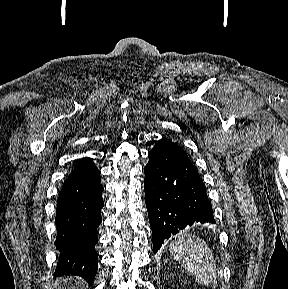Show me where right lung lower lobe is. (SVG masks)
<instances>
[{
	"instance_id": "98d812e1",
	"label": "right lung lower lobe",
	"mask_w": 288,
	"mask_h": 289,
	"mask_svg": "<svg viewBox=\"0 0 288 289\" xmlns=\"http://www.w3.org/2000/svg\"><path fill=\"white\" fill-rule=\"evenodd\" d=\"M103 186L93 159H82L71 171L61 189L56 209L57 237L60 251L55 276L75 274L87 282L97 272V227L102 222Z\"/></svg>"
}]
</instances>
